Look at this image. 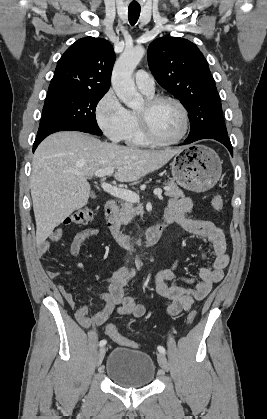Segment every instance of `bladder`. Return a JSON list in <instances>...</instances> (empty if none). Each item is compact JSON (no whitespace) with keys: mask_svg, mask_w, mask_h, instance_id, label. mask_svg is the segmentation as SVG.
Returning a JSON list of instances; mask_svg holds the SVG:
<instances>
[{"mask_svg":"<svg viewBox=\"0 0 267 419\" xmlns=\"http://www.w3.org/2000/svg\"><path fill=\"white\" fill-rule=\"evenodd\" d=\"M105 373L121 387L137 388L151 384L156 368L152 357L142 351L115 347L109 354Z\"/></svg>","mask_w":267,"mask_h":419,"instance_id":"31cf9c89","label":"bladder"}]
</instances>
